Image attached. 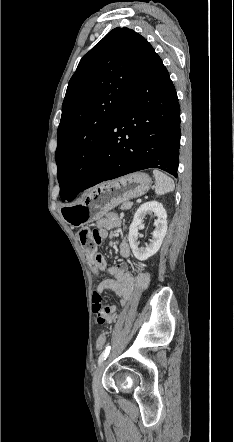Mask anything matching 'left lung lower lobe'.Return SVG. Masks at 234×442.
I'll return each mask as SVG.
<instances>
[{
	"instance_id": "0a47b994",
	"label": "left lung lower lobe",
	"mask_w": 234,
	"mask_h": 442,
	"mask_svg": "<svg viewBox=\"0 0 234 442\" xmlns=\"http://www.w3.org/2000/svg\"><path fill=\"white\" fill-rule=\"evenodd\" d=\"M179 147L177 94L168 71L154 52L124 95L79 192L147 168H159L177 177Z\"/></svg>"
}]
</instances>
